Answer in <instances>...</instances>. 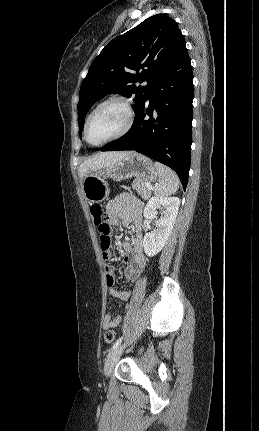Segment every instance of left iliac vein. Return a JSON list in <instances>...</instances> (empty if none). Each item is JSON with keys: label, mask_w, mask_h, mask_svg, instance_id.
I'll list each match as a JSON object with an SVG mask.
<instances>
[{"label": "left iliac vein", "mask_w": 259, "mask_h": 431, "mask_svg": "<svg viewBox=\"0 0 259 431\" xmlns=\"http://www.w3.org/2000/svg\"><path fill=\"white\" fill-rule=\"evenodd\" d=\"M125 348V344L119 345L114 351L110 353L108 356L105 365H104V374L106 377H109L118 362L123 350Z\"/></svg>", "instance_id": "left-iliac-vein-1"}]
</instances>
